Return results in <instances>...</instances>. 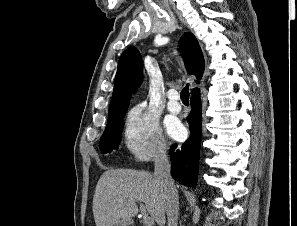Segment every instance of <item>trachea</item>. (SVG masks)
<instances>
[{
    "instance_id": "1",
    "label": "trachea",
    "mask_w": 297,
    "mask_h": 226,
    "mask_svg": "<svg viewBox=\"0 0 297 226\" xmlns=\"http://www.w3.org/2000/svg\"><path fill=\"white\" fill-rule=\"evenodd\" d=\"M181 100L184 104L189 103V87L186 85L181 91Z\"/></svg>"
}]
</instances>
